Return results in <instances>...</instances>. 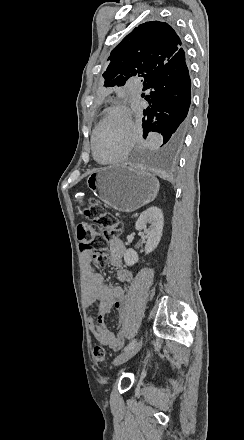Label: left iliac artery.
<instances>
[{"label":"left iliac artery","instance_id":"left-iliac-artery-1","mask_svg":"<svg viewBox=\"0 0 244 440\" xmlns=\"http://www.w3.org/2000/svg\"><path fill=\"white\" fill-rule=\"evenodd\" d=\"M136 344V339H133L125 348L124 351L132 348Z\"/></svg>","mask_w":244,"mask_h":440}]
</instances>
